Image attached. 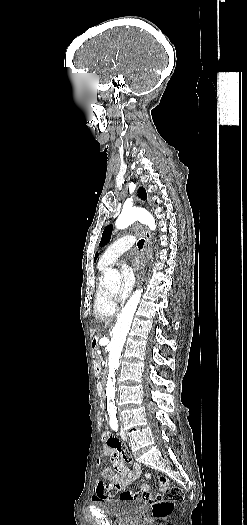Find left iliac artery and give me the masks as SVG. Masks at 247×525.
<instances>
[{"label":"left iliac artery","mask_w":247,"mask_h":525,"mask_svg":"<svg viewBox=\"0 0 247 525\" xmlns=\"http://www.w3.org/2000/svg\"><path fill=\"white\" fill-rule=\"evenodd\" d=\"M110 427L112 430L117 431L118 430V423L116 421L110 422Z\"/></svg>","instance_id":"1"}]
</instances>
